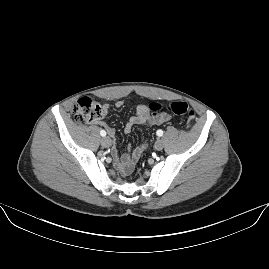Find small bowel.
I'll return each instance as SVG.
<instances>
[{
    "label": "small bowel",
    "instance_id": "c3829d8e",
    "mask_svg": "<svg viewBox=\"0 0 269 269\" xmlns=\"http://www.w3.org/2000/svg\"><path fill=\"white\" fill-rule=\"evenodd\" d=\"M117 107L121 106V103L118 102L116 104ZM108 105H104V114H107L108 112ZM172 118L169 114L167 113H160V114H151L145 107V105H141L139 106L138 109V113L131 117L125 127H124V131L125 133H129L132 129V126L134 124H138V125H160L163 124L165 122L170 121ZM95 124L102 126L106 132L108 133V135L110 137H114L115 136V129L112 128L111 126H109L108 124H106L104 121H96ZM146 150V145H142L138 148H136L133 151L132 156H130L128 153L124 154L120 160H117V165L118 167L123 170V167L126 163L128 162H133L137 159H139V157L142 155V153Z\"/></svg>",
    "mask_w": 269,
    "mask_h": 269
}]
</instances>
